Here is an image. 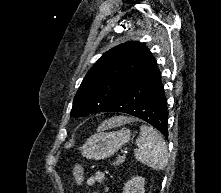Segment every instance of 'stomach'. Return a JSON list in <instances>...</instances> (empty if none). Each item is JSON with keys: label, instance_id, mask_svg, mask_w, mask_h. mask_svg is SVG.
<instances>
[{"label": "stomach", "instance_id": "0dacf381", "mask_svg": "<svg viewBox=\"0 0 221 193\" xmlns=\"http://www.w3.org/2000/svg\"><path fill=\"white\" fill-rule=\"evenodd\" d=\"M130 139L131 131L129 129L113 132H104L103 129H99L85 142L81 148V153L88 159H105L112 156Z\"/></svg>", "mask_w": 221, "mask_h": 193}]
</instances>
